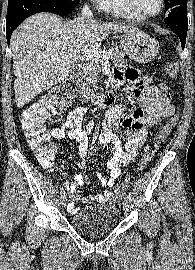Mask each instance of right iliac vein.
Returning <instances> with one entry per match:
<instances>
[{
  "mask_svg": "<svg viewBox=\"0 0 195 270\" xmlns=\"http://www.w3.org/2000/svg\"><path fill=\"white\" fill-rule=\"evenodd\" d=\"M66 196L64 195V196H62L61 198H60V205L61 206H65L66 205Z\"/></svg>",
  "mask_w": 195,
  "mask_h": 270,
  "instance_id": "63e3f726",
  "label": "right iliac vein"
}]
</instances>
